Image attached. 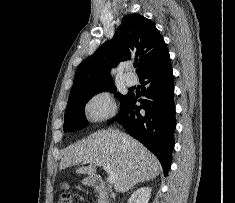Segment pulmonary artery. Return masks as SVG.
<instances>
[{
  "label": "pulmonary artery",
  "mask_w": 235,
  "mask_h": 203,
  "mask_svg": "<svg viewBox=\"0 0 235 203\" xmlns=\"http://www.w3.org/2000/svg\"><path fill=\"white\" fill-rule=\"evenodd\" d=\"M124 81L128 86H134L137 83V78L134 74L127 72L124 75Z\"/></svg>",
  "instance_id": "obj_1"
}]
</instances>
